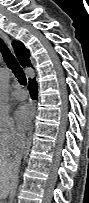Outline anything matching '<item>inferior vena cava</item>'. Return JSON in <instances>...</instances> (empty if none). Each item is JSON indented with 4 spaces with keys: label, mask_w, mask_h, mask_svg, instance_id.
Listing matches in <instances>:
<instances>
[{
    "label": "inferior vena cava",
    "mask_w": 89,
    "mask_h": 203,
    "mask_svg": "<svg viewBox=\"0 0 89 203\" xmlns=\"http://www.w3.org/2000/svg\"><path fill=\"white\" fill-rule=\"evenodd\" d=\"M26 146H27L26 138L24 136H20L19 137V147H20V150H19V152L16 155V158H15L16 161L19 162L21 160L22 155L26 151Z\"/></svg>",
    "instance_id": "inferior-vena-cava-1"
}]
</instances>
